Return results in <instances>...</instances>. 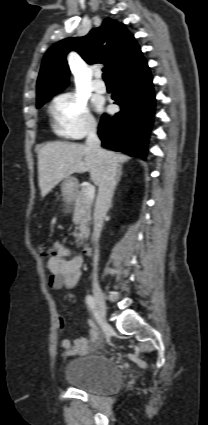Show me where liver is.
Listing matches in <instances>:
<instances>
[{"mask_svg":"<svg viewBox=\"0 0 208 425\" xmlns=\"http://www.w3.org/2000/svg\"><path fill=\"white\" fill-rule=\"evenodd\" d=\"M118 163L130 158L126 155L110 152ZM104 169V161L87 145L50 142L38 151V180L41 196L45 197L60 181L73 173L89 172L92 181L99 185Z\"/></svg>","mask_w":208,"mask_h":425,"instance_id":"obj_1","label":"liver"}]
</instances>
